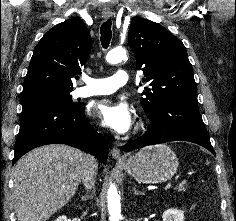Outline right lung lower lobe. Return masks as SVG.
Masks as SVG:
<instances>
[{"mask_svg":"<svg viewBox=\"0 0 236 221\" xmlns=\"http://www.w3.org/2000/svg\"><path fill=\"white\" fill-rule=\"evenodd\" d=\"M67 144L106 163V139L88 123L84 104L72 109L57 104H36L22 109L12 165L28 151L47 144Z\"/></svg>","mask_w":236,"mask_h":221,"instance_id":"98d812e1","label":"right lung lower lobe"}]
</instances>
